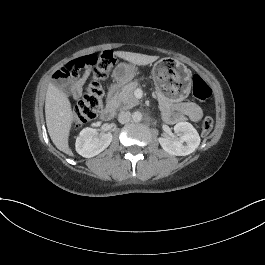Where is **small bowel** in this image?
Returning a JSON list of instances; mask_svg holds the SVG:
<instances>
[{"instance_id": "obj_1", "label": "small bowel", "mask_w": 265, "mask_h": 265, "mask_svg": "<svg viewBox=\"0 0 265 265\" xmlns=\"http://www.w3.org/2000/svg\"><path fill=\"white\" fill-rule=\"evenodd\" d=\"M90 77V72L85 71L81 76L76 78L70 87V93L74 98H79L82 94L83 87ZM176 111L181 115L197 122L203 116L202 109L194 102H179L175 105Z\"/></svg>"}]
</instances>
